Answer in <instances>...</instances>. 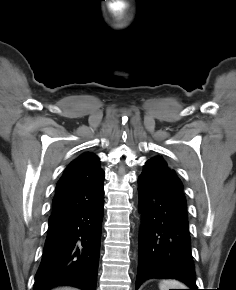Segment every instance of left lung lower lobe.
Listing matches in <instances>:
<instances>
[{
  "label": "left lung lower lobe",
  "mask_w": 236,
  "mask_h": 290,
  "mask_svg": "<svg viewBox=\"0 0 236 290\" xmlns=\"http://www.w3.org/2000/svg\"><path fill=\"white\" fill-rule=\"evenodd\" d=\"M138 192L142 226L136 290L150 278H176L198 290L184 194L143 176L138 178Z\"/></svg>",
  "instance_id": "1"
}]
</instances>
